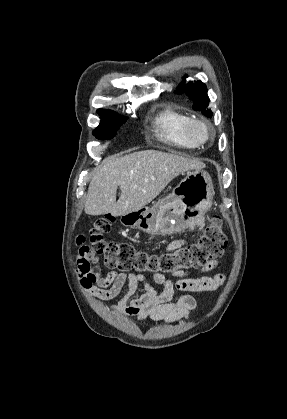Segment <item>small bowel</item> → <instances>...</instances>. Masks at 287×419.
<instances>
[{
  "instance_id": "1",
  "label": "small bowel",
  "mask_w": 287,
  "mask_h": 419,
  "mask_svg": "<svg viewBox=\"0 0 287 419\" xmlns=\"http://www.w3.org/2000/svg\"><path fill=\"white\" fill-rule=\"evenodd\" d=\"M184 241L177 240L167 246V251L180 248ZM217 261L209 262L203 271H209L217 265ZM75 265L82 286L94 297L109 300L117 296L125 284L127 290L123 298L112 309L127 316H135L138 321L151 319L156 322H179L186 319L196 306V300L191 295H183L176 302L172 299L176 292H201L216 289L224 281L222 274L213 277H191L184 271H177L176 281L165 278L162 274H154L153 282L163 285L158 293L151 282L141 274H125L109 272L101 274L99 260L87 247H81L75 258ZM144 285L145 292L138 298H132L139 284Z\"/></svg>"
}]
</instances>
